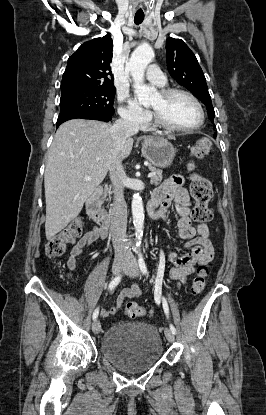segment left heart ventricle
Wrapping results in <instances>:
<instances>
[{
    "instance_id": "left-heart-ventricle-1",
    "label": "left heart ventricle",
    "mask_w": 266,
    "mask_h": 415,
    "mask_svg": "<svg viewBox=\"0 0 266 415\" xmlns=\"http://www.w3.org/2000/svg\"><path fill=\"white\" fill-rule=\"evenodd\" d=\"M151 107L167 122L178 127L193 126L200 119V113L196 105L183 95L165 99L159 93L152 101Z\"/></svg>"
}]
</instances>
